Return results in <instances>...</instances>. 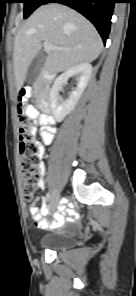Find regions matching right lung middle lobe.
Here are the masks:
<instances>
[{"label":"right lung middle lobe","mask_w":136,"mask_h":296,"mask_svg":"<svg viewBox=\"0 0 136 296\" xmlns=\"http://www.w3.org/2000/svg\"><path fill=\"white\" fill-rule=\"evenodd\" d=\"M22 2L24 6V18H27L36 8L43 4L44 0H18Z\"/></svg>","instance_id":"right-lung-middle-lobe-1"}]
</instances>
